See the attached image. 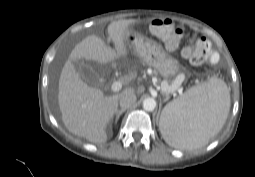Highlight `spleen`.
<instances>
[{"mask_svg": "<svg viewBox=\"0 0 255 177\" xmlns=\"http://www.w3.org/2000/svg\"><path fill=\"white\" fill-rule=\"evenodd\" d=\"M229 110L230 94L226 84L211 78L164 107L160 131L173 147L198 148L221 130Z\"/></svg>", "mask_w": 255, "mask_h": 177, "instance_id": "3e777b00", "label": "spleen"}]
</instances>
